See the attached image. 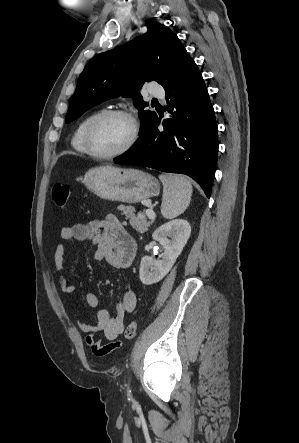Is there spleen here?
Here are the masks:
<instances>
[{
  "mask_svg": "<svg viewBox=\"0 0 299 443\" xmlns=\"http://www.w3.org/2000/svg\"><path fill=\"white\" fill-rule=\"evenodd\" d=\"M163 184L161 213L166 219H173L182 214L188 207L192 185L183 177L172 175L159 176Z\"/></svg>",
  "mask_w": 299,
  "mask_h": 443,
  "instance_id": "obj_1",
  "label": "spleen"
}]
</instances>
